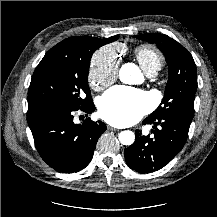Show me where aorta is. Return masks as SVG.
I'll use <instances>...</instances> for the list:
<instances>
[{"instance_id":"obj_1","label":"aorta","mask_w":217,"mask_h":217,"mask_svg":"<svg viewBox=\"0 0 217 217\" xmlns=\"http://www.w3.org/2000/svg\"><path fill=\"white\" fill-rule=\"evenodd\" d=\"M120 80L125 84H137L142 78L138 66L133 63L122 65L119 71ZM119 141L123 145H132L135 141V135L132 131L125 130L119 133Z\"/></svg>"}]
</instances>
